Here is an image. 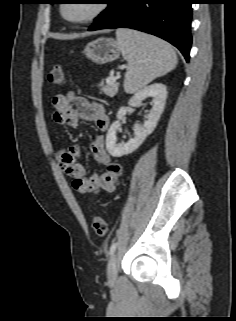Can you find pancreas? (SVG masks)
<instances>
[{"label": "pancreas", "instance_id": "obj_1", "mask_svg": "<svg viewBox=\"0 0 236 321\" xmlns=\"http://www.w3.org/2000/svg\"><path fill=\"white\" fill-rule=\"evenodd\" d=\"M110 77H108L106 79V84H104V82L102 81L101 84H100V87H101V91L106 94L107 96H114L117 94L118 92V87H119V83L116 82V79L114 81H111V82H107V80L109 79Z\"/></svg>", "mask_w": 236, "mask_h": 321}]
</instances>
